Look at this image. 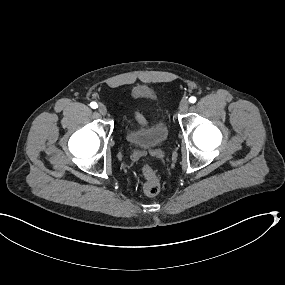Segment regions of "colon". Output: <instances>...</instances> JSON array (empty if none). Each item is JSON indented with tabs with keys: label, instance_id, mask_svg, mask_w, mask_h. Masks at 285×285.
Wrapping results in <instances>:
<instances>
[{
	"label": "colon",
	"instance_id": "1",
	"mask_svg": "<svg viewBox=\"0 0 285 285\" xmlns=\"http://www.w3.org/2000/svg\"><path fill=\"white\" fill-rule=\"evenodd\" d=\"M135 119L139 124L145 125L147 123L145 118L139 113L135 114ZM142 173L145 179L143 192L150 197L156 196L161 188L160 179L156 171L149 164H145L142 168Z\"/></svg>",
	"mask_w": 285,
	"mask_h": 285
}]
</instances>
